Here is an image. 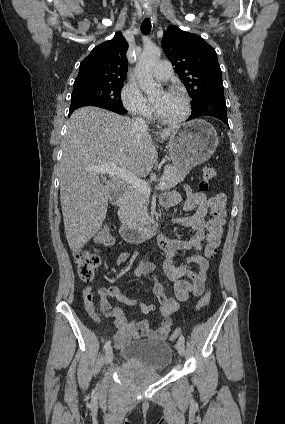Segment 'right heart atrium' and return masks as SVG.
Wrapping results in <instances>:
<instances>
[{"label":"right heart atrium","instance_id":"1","mask_svg":"<svg viewBox=\"0 0 285 424\" xmlns=\"http://www.w3.org/2000/svg\"><path fill=\"white\" fill-rule=\"evenodd\" d=\"M120 96L123 106L130 114L144 120H148L152 117V105L144 97L135 82H127L123 86Z\"/></svg>","mask_w":285,"mask_h":424}]
</instances>
